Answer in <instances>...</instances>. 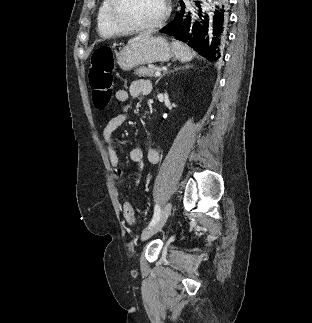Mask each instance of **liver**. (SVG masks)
I'll list each match as a JSON object with an SVG mask.
<instances>
[{"mask_svg":"<svg viewBox=\"0 0 312 323\" xmlns=\"http://www.w3.org/2000/svg\"><path fill=\"white\" fill-rule=\"evenodd\" d=\"M142 36H148V34H142ZM137 38H141V36H137ZM133 40H135V38H133ZM130 42H132V40H130Z\"/></svg>","mask_w":312,"mask_h":323,"instance_id":"6515ba94","label":"liver"}]
</instances>
